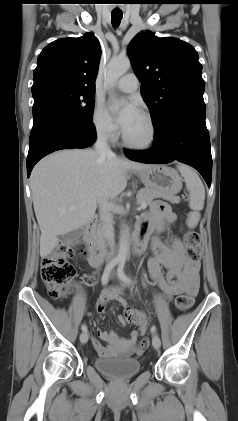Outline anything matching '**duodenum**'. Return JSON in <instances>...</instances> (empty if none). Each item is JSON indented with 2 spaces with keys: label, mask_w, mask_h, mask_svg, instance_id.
Segmentation results:
<instances>
[{
  "label": "duodenum",
  "mask_w": 238,
  "mask_h": 421,
  "mask_svg": "<svg viewBox=\"0 0 238 421\" xmlns=\"http://www.w3.org/2000/svg\"><path fill=\"white\" fill-rule=\"evenodd\" d=\"M97 218L90 219L85 226L84 242L87 247L89 263L97 267L99 266L106 256V251L98 241L96 232ZM147 247V238L137 232L134 236L133 252L135 256H140Z\"/></svg>",
  "instance_id": "duodenum-1"
}]
</instances>
